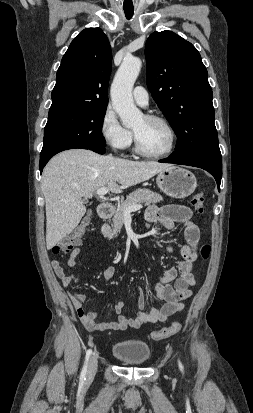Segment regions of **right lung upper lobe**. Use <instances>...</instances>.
Returning a JSON list of instances; mask_svg holds the SVG:
<instances>
[{
    "label": "right lung upper lobe",
    "mask_w": 253,
    "mask_h": 413,
    "mask_svg": "<svg viewBox=\"0 0 253 413\" xmlns=\"http://www.w3.org/2000/svg\"><path fill=\"white\" fill-rule=\"evenodd\" d=\"M111 68L112 53L106 35L100 28L84 29L62 58L48 115L107 108Z\"/></svg>",
    "instance_id": "1"
}]
</instances>
